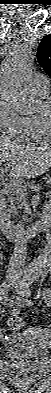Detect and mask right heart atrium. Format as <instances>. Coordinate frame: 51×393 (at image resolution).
Returning a JSON list of instances; mask_svg holds the SVG:
<instances>
[{
    "label": "right heart atrium",
    "instance_id": "d8ad5b80",
    "mask_svg": "<svg viewBox=\"0 0 51 393\" xmlns=\"http://www.w3.org/2000/svg\"><path fill=\"white\" fill-rule=\"evenodd\" d=\"M25 117L4 98L0 99V131L10 137L24 138Z\"/></svg>",
    "mask_w": 51,
    "mask_h": 393
}]
</instances>
